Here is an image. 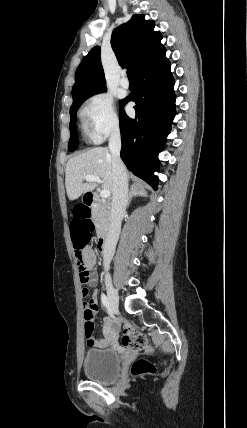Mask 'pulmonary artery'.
<instances>
[{
    "instance_id": "obj_1",
    "label": "pulmonary artery",
    "mask_w": 247,
    "mask_h": 428,
    "mask_svg": "<svg viewBox=\"0 0 247 428\" xmlns=\"http://www.w3.org/2000/svg\"><path fill=\"white\" fill-rule=\"evenodd\" d=\"M120 85L122 88L127 89L129 87V81L125 77H122L120 80Z\"/></svg>"
}]
</instances>
